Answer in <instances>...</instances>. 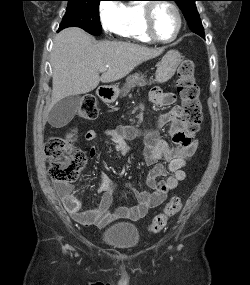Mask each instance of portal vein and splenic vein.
Masks as SVG:
<instances>
[{
  "label": "portal vein and splenic vein",
  "mask_w": 250,
  "mask_h": 285,
  "mask_svg": "<svg viewBox=\"0 0 250 285\" xmlns=\"http://www.w3.org/2000/svg\"><path fill=\"white\" fill-rule=\"evenodd\" d=\"M107 68H108V66L102 68L100 71H101V72H104Z\"/></svg>",
  "instance_id": "obj_1"
}]
</instances>
